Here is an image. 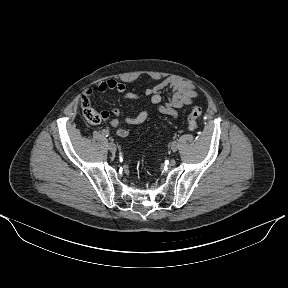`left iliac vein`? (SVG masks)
Listing matches in <instances>:
<instances>
[{
    "instance_id": "1",
    "label": "left iliac vein",
    "mask_w": 288,
    "mask_h": 288,
    "mask_svg": "<svg viewBox=\"0 0 288 288\" xmlns=\"http://www.w3.org/2000/svg\"><path fill=\"white\" fill-rule=\"evenodd\" d=\"M171 150L173 152H176L178 150V143L177 142H172L171 143Z\"/></svg>"
}]
</instances>
